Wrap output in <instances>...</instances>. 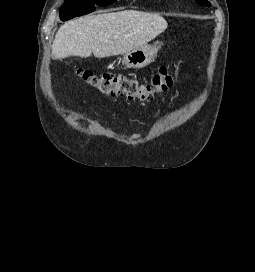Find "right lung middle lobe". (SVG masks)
Masks as SVG:
<instances>
[{"label":"right lung middle lobe","instance_id":"1","mask_svg":"<svg viewBox=\"0 0 255 272\" xmlns=\"http://www.w3.org/2000/svg\"><path fill=\"white\" fill-rule=\"evenodd\" d=\"M115 1L116 0H66L64 5L60 8V18L62 21H66L94 11L95 4L106 6Z\"/></svg>","mask_w":255,"mask_h":272}]
</instances>
